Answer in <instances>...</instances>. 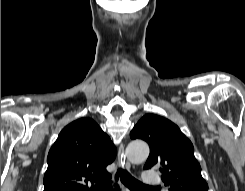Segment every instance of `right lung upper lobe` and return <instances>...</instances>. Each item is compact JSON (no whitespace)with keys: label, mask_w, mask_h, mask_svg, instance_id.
Returning a JSON list of instances; mask_svg holds the SVG:
<instances>
[{"label":"right lung upper lobe","mask_w":245,"mask_h":191,"mask_svg":"<svg viewBox=\"0 0 245 191\" xmlns=\"http://www.w3.org/2000/svg\"><path fill=\"white\" fill-rule=\"evenodd\" d=\"M116 153L109 136L94 120L73 121L60 132L48 153L44 191H100L111 182L106 167Z\"/></svg>","instance_id":"cb5924a9"}]
</instances>
